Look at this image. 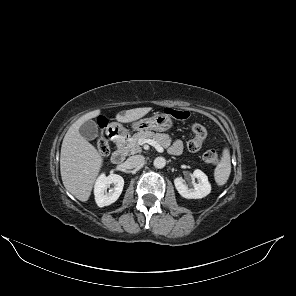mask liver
I'll return each instance as SVG.
<instances>
[{
    "label": "liver",
    "mask_w": 296,
    "mask_h": 296,
    "mask_svg": "<svg viewBox=\"0 0 296 296\" xmlns=\"http://www.w3.org/2000/svg\"><path fill=\"white\" fill-rule=\"evenodd\" d=\"M151 107L126 110L118 113L116 120L122 123L136 121L151 111ZM100 110L91 111L74 122L64 136L60 154V172L64 187L78 200L89 199L94 182L103 166V157L79 132L87 120L97 117Z\"/></svg>",
    "instance_id": "obj_1"
}]
</instances>
